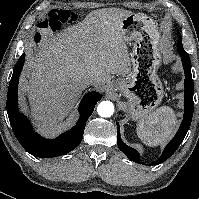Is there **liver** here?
I'll return each mask as SVG.
<instances>
[{
    "label": "liver",
    "instance_id": "6515ba94",
    "mask_svg": "<svg viewBox=\"0 0 199 199\" xmlns=\"http://www.w3.org/2000/svg\"><path fill=\"white\" fill-rule=\"evenodd\" d=\"M131 13L117 8L92 11L81 22L44 38L35 53L28 52L25 91L35 120L47 127L61 122L87 87V78L103 87L112 75L130 73L121 23Z\"/></svg>",
    "mask_w": 199,
    "mask_h": 199
}]
</instances>
